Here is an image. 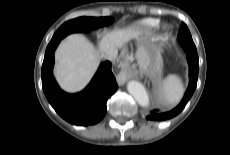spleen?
<instances>
[{"mask_svg": "<svg viewBox=\"0 0 230 155\" xmlns=\"http://www.w3.org/2000/svg\"><path fill=\"white\" fill-rule=\"evenodd\" d=\"M184 93V87L176 76H169L162 85V94L167 103L176 105Z\"/></svg>", "mask_w": 230, "mask_h": 155, "instance_id": "1", "label": "spleen"}]
</instances>
